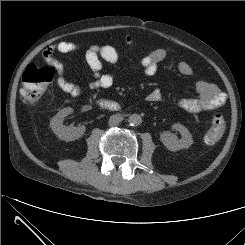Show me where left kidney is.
Masks as SVG:
<instances>
[{"label":"left kidney","mask_w":245,"mask_h":245,"mask_svg":"<svg viewBox=\"0 0 245 245\" xmlns=\"http://www.w3.org/2000/svg\"><path fill=\"white\" fill-rule=\"evenodd\" d=\"M173 129L180 132L182 139L170 132H164L161 135L162 143L170 151H178L181 149L189 148L192 143V135L189 130L182 124L176 123L173 125Z\"/></svg>","instance_id":"obj_1"}]
</instances>
